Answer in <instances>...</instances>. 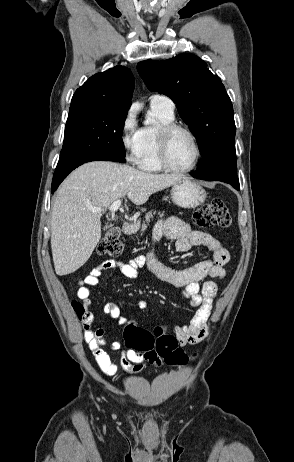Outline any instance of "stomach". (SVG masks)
Returning <instances> with one entry per match:
<instances>
[{
	"instance_id": "1",
	"label": "stomach",
	"mask_w": 294,
	"mask_h": 462,
	"mask_svg": "<svg viewBox=\"0 0 294 462\" xmlns=\"http://www.w3.org/2000/svg\"><path fill=\"white\" fill-rule=\"evenodd\" d=\"M171 198L177 206L195 208L205 201L206 192L199 184L185 177L172 186Z\"/></svg>"
}]
</instances>
